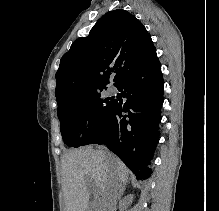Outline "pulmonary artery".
Here are the masks:
<instances>
[{
	"mask_svg": "<svg viewBox=\"0 0 219 211\" xmlns=\"http://www.w3.org/2000/svg\"><path fill=\"white\" fill-rule=\"evenodd\" d=\"M116 93H117L116 88L111 87V88L108 89V94L109 95H115Z\"/></svg>",
	"mask_w": 219,
	"mask_h": 211,
	"instance_id": "e3ab8cb5",
	"label": "pulmonary artery"
}]
</instances>
